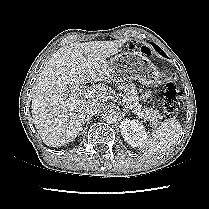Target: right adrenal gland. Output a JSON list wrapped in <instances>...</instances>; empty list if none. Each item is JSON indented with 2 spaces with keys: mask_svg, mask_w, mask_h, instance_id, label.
Returning a JSON list of instances; mask_svg holds the SVG:
<instances>
[{
  "mask_svg": "<svg viewBox=\"0 0 209 209\" xmlns=\"http://www.w3.org/2000/svg\"><path fill=\"white\" fill-rule=\"evenodd\" d=\"M91 117H92V116L87 115L83 124L86 123V124L88 125V124H89V121L91 120ZM82 129H83V127H82ZM82 129H81V130H82Z\"/></svg>",
  "mask_w": 209,
  "mask_h": 209,
  "instance_id": "2a0ac1e0",
  "label": "right adrenal gland"
}]
</instances>
